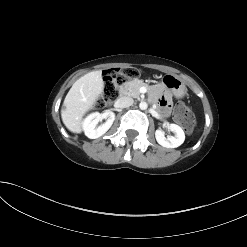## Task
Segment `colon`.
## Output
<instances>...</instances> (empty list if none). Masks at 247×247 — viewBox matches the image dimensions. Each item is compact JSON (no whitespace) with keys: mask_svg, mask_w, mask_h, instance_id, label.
<instances>
[{"mask_svg":"<svg viewBox=\"0 0 247 247\" xmlns=\"http://www.w3.org/2000/svg\"><path fill=\"white\" fill-rule=\"evenodd\" d=\"M139 71L134 67L114 68L107 72L104 78L102 95L97 101L99 107L112 103L119 96V86L138 77ZM175 120L190 133L195 126V117L192 111L182 102L177 103L174 111Z\"/></svg>","mask_w":247,"mask_h":247,"instance_id":"colon-1","label":"colon"}]
</instances>
